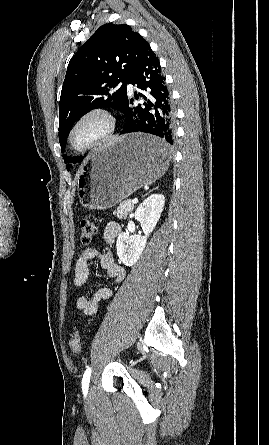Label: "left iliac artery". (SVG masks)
I'll return each mask as SVG.
<instances>
[{
    "label": "left iliac artery",
    "instance_id": "left-iliac-artery-1",
    "mask_svg": "<svg viewBox=\"0 0 269 445\" xmlns=\"http://www.w3.org/2000/svg\"><path fill=\"white\" fill-rule=\"evenodd\" d=\"M91 371H92L91 367H88L83 375V378H82V392H83L84 396H86L88 393Z\"/></svg>",
    "mask_w": 269,
    "mask_h": 445
}]
</instances>
